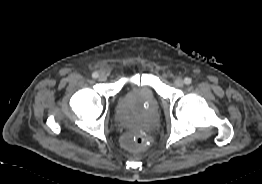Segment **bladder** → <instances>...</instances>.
I'll use <instances>...</instances> for the list:
<instances>
[{
    "label": "bladder",
    "instance_id": "bladder-1",
    "mask_svg": "<svg viewBox=\"0 0 262 184\" xmlns=\"http://www.w3.org/2000/svg\"><path fill=\"white\" fill-rule=\"evenodd\" d=\"M136 91L144 92L151 103H157V92L154 85L150 81H146L144 85H137L136 83H131V85L127 88L124 96L127 97ZM118 121L121 125L127 128H133L138 126V122L135 119H132L124 115L122 112H119L118 114Z\"/></svg>",
    "mask_w": 262,
    "mask_h": 184
}]
</instances>
